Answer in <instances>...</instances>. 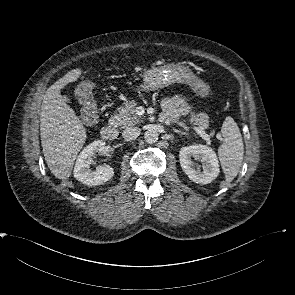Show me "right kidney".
I'll list each match as a JSON object with an SVG mask.
<instances>
[{"label":"right kidney","mask_w":295,"mask_h":295,"mask_svg":"<svg viewBox=\"0 0 295 295\" xmlns=\"http://www.w3.org/2000/svg\"><path fill=\"white\" fill-rule=\"evenodd\" d=\"M108 148L102 140H97L86 146L79 154L74 167V177L89 186L102 185L110 180L114 171L109 165L96 167L95 171H91L90 165L93 163L92 157L96 154H106Z\"/></svg>","instance_id":"1"}]
</instances>
